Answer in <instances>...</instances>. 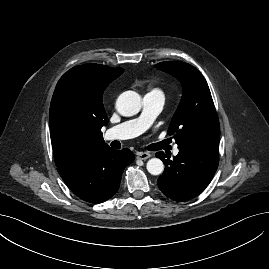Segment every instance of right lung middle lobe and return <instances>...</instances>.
Masks as SVG:
<instances>
[{
	"mask_svg": "<svg viewBox=\"0 0 269 269\" xmlns=\"http://www.w3.org/2000/svg\"><path fill=\"white\" fill-rule=\"evenodd\" d=\"M65 136L68 141H73L77 138V134L72 130H67Z\"/></svg>",
	"mask_w": 269,
	"mask_h": 269,
	"instance_id": "right-lung-middle-lobe-1",
	"label": "right lung middle lobe"
}]
</instances>
